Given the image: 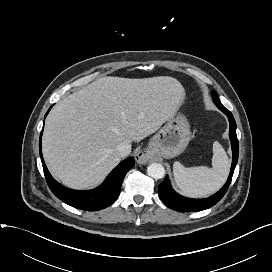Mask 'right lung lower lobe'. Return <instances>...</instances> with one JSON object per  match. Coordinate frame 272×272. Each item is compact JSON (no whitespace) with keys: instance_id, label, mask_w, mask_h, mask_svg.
<instances>
[{"instance_id":"obj_1","label":"right lung lower lobe","mask_w":272,"mask_h":272,"mask_svg":"<svg viewBox=\"0 0 272 272\" xmlns=\"http://www.w3.org/2000/svg\"><path fill=\"white\" fill-rule=\"evenodd\" d=\"M50 109L47 111L45 117ZM41 136L42 132L39 140V150L43 170L48 186L56 197L72 207L87 211L101 210L110 206L116 200L120 193L124 176L135 164L133 157L125 159L115 167L101 186L89 191H76L60 185L49 173L42 158Z\"/></svg>"}]
</instances>
